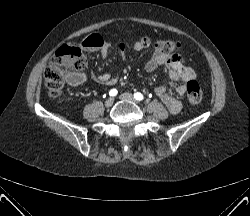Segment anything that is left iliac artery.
<instances>
[{
  "mask_svg": "<svg viewBox=\"0 0 250 216\" xmlns=\"http://www.w3.org/2000/svg\"><path fill=\"white\" fill-rule=\"evenodd\" d=\"M134 98L136 100H138V101H141V100L144 99L143 95L141 93H139V92H137V93L134 94Z\"/></svg>",
  "mask_w": 250,
  "mask_h": 216,
  "instance_id": "1",
  "label": "left iliac artery"
}]
</instances>
